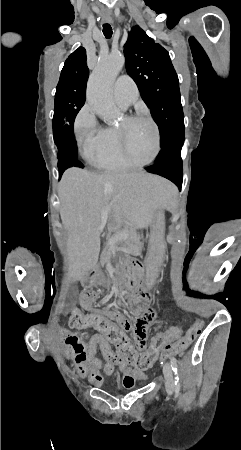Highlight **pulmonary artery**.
<instances>
[{
  "instance_id": "e3ab8cb5",
  "label": "pulmonary artery",
  "mask_w": 241,
  "mask_h": 450,
  "mask_svg": "<svg viewBox=\"0 0 241 450\" xmlns=\"http://www.w3.org/2000/svg\"><path fill=\"white\" fill-rule=\"evenodd\" d=\"M113 95L119 105L129 106L136 95L132 80L126 75L119 77L115 83Z\"/></svg>"
}]
</instances>
